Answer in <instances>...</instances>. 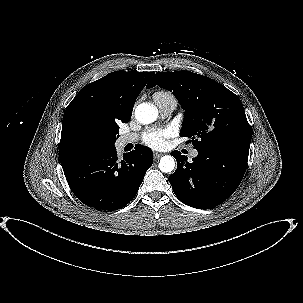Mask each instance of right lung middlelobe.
Here are the masks:
<instances>
[{
    "mask_svg": "<svg viewBox=\"0 0 303 303\" xmlns=\"http://www.w3.org/2000/svg\"><path fill=\"white\" fill-rule=\"evenodd\" d=\"M117 134L118 130H105L91 122L81 123L76 131L78 142L90 155L113 147Z\"/></svg>",
    "mask_w": 303,
    "mask_h": 303,
    "instance_id": "obj_1",
    "label": "right lung middle lobe"
}]
</instances>
